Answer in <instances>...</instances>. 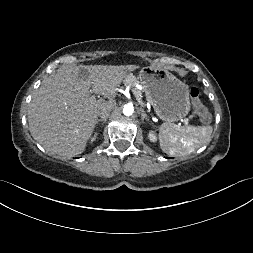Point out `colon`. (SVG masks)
<instances>
[{
  "label": "colon",
  "mask_w": 253,
  "mask_h": 253,
  "mask_svg": "<svg viewBox=\"0 0 253 253\" xmlns=\"http://www.w3.org/2000/svg\"><path fill=\"white\" fill-rule=\"evenodd\" d=\"M189 95L196 116L203 122L209 121L211 115L209 110L200 100V92L198 88L192 87L189 91Z\"/></svg>",
  "instance_id": "1"
}]
</instances>
